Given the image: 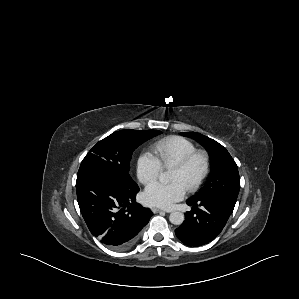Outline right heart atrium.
Segmentation results:
<instances>
[{
  "label": "right heart atrium",
  "instance_id": "right-heart-atrium-1",
  "mask_svg": "<svg viewBox=\"0 0 299 299\" xmlns=\"http://www.w3.org/2000/svg\"><path fill=\"white\" fill-rule=\"evenodd\" d=\"M162 170V166L154 155L144 151L136 161V174L138 180L143 184H148L156 180Z\"/></svg>",
  "mask_w": 299,
  "mask_h": 299
}]
</instances>
